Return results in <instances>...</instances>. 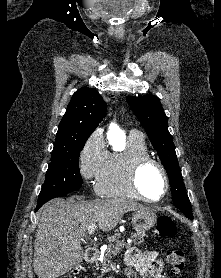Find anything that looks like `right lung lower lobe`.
Segmentation results:
<instances>
[{"mask_svg": "<svg viewBox=\"0 0 221 278\" xmlns=\"http://www.w3.org/2000/svg\"><path fill=\"white\" fill-rule=\"evenodd\" d=\"M68 194V193H67ZM66 194L62 195V196H65ZM61 197V196H60ZM42 205H37V208H36V211L41 207Z\"/></svg>", "mask_w": 221, "mask_h": 278, "instance_id": "98d812e1", "label": "right lung lower lobe"}]
</instances>
